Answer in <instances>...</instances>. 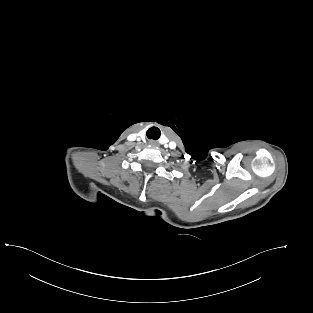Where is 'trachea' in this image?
<instances>
[{"label": "trachea", "mask_w": 313, "mask_h": 313, "mask_svg": "<svg viewBox=\"0 0 313 313\" xmlns=\"http://www.w3.org/2000/svg\"><path fill=\"white\" fill-rule=\"evenodd\" d=\"M146 135L149 139L157 140L160 138L161 132L160 129L157 127H151L146 132Z\"/></svg>", "instance_id": "trachea-1"}]
</instances>
